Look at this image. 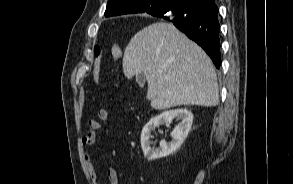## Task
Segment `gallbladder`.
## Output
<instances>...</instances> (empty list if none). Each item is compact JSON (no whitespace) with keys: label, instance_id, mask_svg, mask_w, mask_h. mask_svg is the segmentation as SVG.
Instances as JSON below:
<instances>
[{"label":"gallbladder","instance_id":"gallbladder-1","mask_svg":"<svg viewBox=\"0 0 293 184\" xmlns=\"http://www.w3.org/2000/svg\"><path fill=\"white\" fill-rule=\"evenodd\" d=\"M136 81L138 83H144L145 82V76L142 73L136 74Z\"/></svg>","mask_w":293,"mask_h":184}]
</instances>
